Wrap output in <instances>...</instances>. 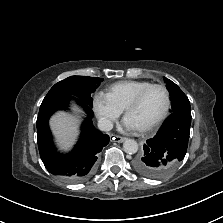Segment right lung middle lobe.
Wrapping results in <instances>:
<instances>
[{"instance_id": "1", "label": "right lung middle lobe", "mask_w": 223, "mask_h": 223, "mask_svg": "<svg viewBox=\"0 0 223 223\" xmlns=\"http://www.w3.org/2000/svg\"><path fill=\"white\" fill-rule=\"evenodd\" d=\"M102 81V78L70 76L56 83L50 89L40 107L53 103L62 98L71 97L72 95L92 105L93 99L91 94L95 92V89Z\"/></svg>"}]
</instances>
